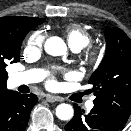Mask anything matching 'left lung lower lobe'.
I'll return each instance as SVG.
<instances>
[{
	"label": "left lung lower lobe",
	"mask_w": 131,
	"mask_h": 131,
	"mask_svg": "<svg viewBox=\"0 0 131 131\" xmlns=\"http://www.w3.org/2000/svg\"><path fill=\"white\" fill-rule=\"evenodd\" d=\"M74 112V117L65 126L66 131H119L124 126L97 106L90 113L84 114L75 104Z\"/></svg>",
	"instance_id": "obj_1"
}]
</instances>
